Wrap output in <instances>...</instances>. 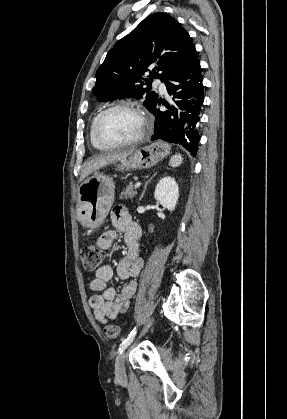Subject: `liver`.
Returning a JSON list of instances; mask_svg holds the SVG:
<instances>
[{
	"label": "liver",
	"instance_id": "obj_1",
	"mask_svg": "<svg viewBox=\"0 0 287 419\" xmlns=\"http://www.w3.org/2000/svg\"><path fill=\"white\" fill-rule=\"evenodd\" d=\"M133 151L134 149H130V150L115 152L111 154H100L98 156H95L94 158H91L83 166L80 181L84 180L87 176H89L91 173L95 172L96 170L104 166H107L113 162L120 161L128 157Z\"/></svg>",
	"mask_w": 287,
	"mask_h": 419
}]
</instances>
